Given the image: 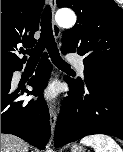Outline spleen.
<instances>
[{"mask_svg":"<svg viewBox=\"0 0 123 152\" xmlns=\"http://www.w3.org/2000/svg\"><path fill=\"white\" fill-rule=\"evenodd\" d=\"M80 143L93 147L95 152H123L112 137L104 134L86 136L81 139Z\"/></svg>","mask_w":123,"mask_h":152,"instance_id":"1","label":"spleen"}]
</instances>
